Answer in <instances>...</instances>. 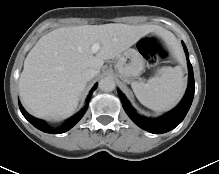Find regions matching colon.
I'll use <instances>...</instances> for the list:
<instances>
[{
	"instance_id": "1",
	"label": "colon",
	"mask_w": 219,
	"mask_h": 174,
	"mask_svg": "<svg viewBox=\"0 0 219 174\" xmlns=\"http://www.w3.org/2000/svg\"><path fill=\"white\" fill-rule=\"evenodd\" d=\"M138 50L151 67H158L167 57L166 48L156 36L141 39L138 43Z\"/></svg>"
}]
</instances>
